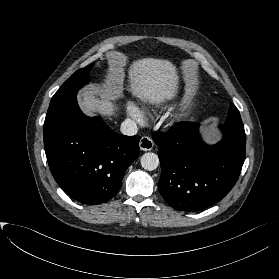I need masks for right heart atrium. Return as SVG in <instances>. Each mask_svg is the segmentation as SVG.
Returning a JSON list of instances; mask_svg holds the SVG:
<instances>
[{
    "mask_svg": "<svg viewBox=\"0 0 279 279\" xmlns=\"http://www.w3.org/2000/svg\"><path fill=\"white\" fill-rule=\"evenodd\" d=\"M127 113L137 123H143L145 119L144 111L134 103H129L127 107Z\"/></svg>",
    "mask_w": 279,
    "mask_h": 279,
    "instance_id": "d8ad5b80",
    "label": "right heart atrium"
}]
</instances>
